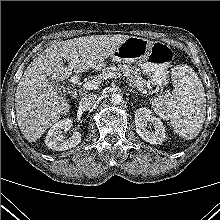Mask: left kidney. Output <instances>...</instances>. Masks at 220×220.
<instances>
[{"label": "left kidney", "instance_id": "obj_1", "mask_svg": "<svg viewBox=\"0 0 220 220\" xmlns=\"http://www.w3.org/2000/svg\"><path fill=\"white\" fill-rule=\"evenodd\" d=\"M147 122L153 124L154 131L147 129ZM135 125L138 135L150 144H161L166 138L165 126L159 118L152 116L149 108L142 107L135 111Z\"/></svg>", "mask_w": 220, "mask_h": 220}]
</instances>
